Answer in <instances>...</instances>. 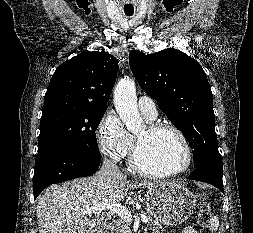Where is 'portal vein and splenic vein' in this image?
<instances>
[{
  "label": "portal vein and splenic vein",
  "mask_w": 253,
  "mask_h": 233,
  "mask_svg": "<svg viewBox=\"0 0 253 233\" xmlns=\"http://www.w3.org/2000/svg\"><path fill=\"white\" fill-rule=\"evenodd\" d=\"M112 211L118 214V216L123 219L127 223L132 222V215L130 211L121 204L116 203H101L98 205H95L89 209H86L83 211V214L91 215L97 212L101 211ZM141 221L144 223H148V217L145 215H140Z\"/></svg>",
  "instance_id": "18ae733b"
}]
</instances>
